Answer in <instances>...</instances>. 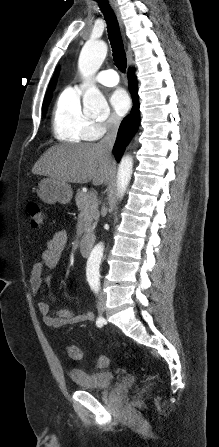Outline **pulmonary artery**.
Segmentation results:
<instances>
[{
	"label": "pulmonary artery",
	"instance_id": "e3ab8cb5",
	"mask_svg": "<svg viewBox=\"0 0 219 447\" xmlns=\"http://www.w3.org/2000/svg\"><path fill=\"white\" fill-rule=\"evenodd\" d=\"M96 82L105 85V86H115L119 83V77L116 71L109 69V70H105L102 71L97 77H96ZM82 85L78 86H74V89L78 92L81 91L82 89Z\"/></svg>",
	"mask_w": 219,
	"mask_h": 447
}]
</instances>
